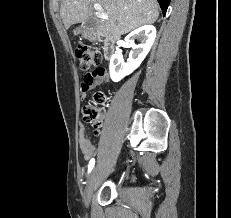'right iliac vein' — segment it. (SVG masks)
<instances>
[{
    "mask_svg": "<svg viewBox=\"0 0 231 218\" xmlns=\"http://www.w3.org/2000/svg\"><path fill=\"white\" fill-rule=\"evenodd\" d=\"M96 176H97V168L95 167L89 176V180H88L85 193H84V200H85L86 206L90 204V201H91V198L94 192V188H95Z\"/></svg>",
    "mask_w": 231,
    "mask_h": 218,
    "instance_id": "right-iliac-vein-1",
    "label": "right iliac vein"
}]
</instances>
